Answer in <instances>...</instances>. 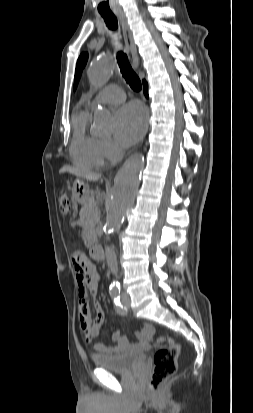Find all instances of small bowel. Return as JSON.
Returning a JSON list of instances; mask_svg holds the SVG:
<instances>
[{
	"label": "small bowel",
	"mask_w": 253,
	"mask_h": 413,
	"mask_svg": "<svg viewBox=\"0 0 253 413\" xmlns=\"http://www.w3.org/2000/svg\"><path fill=\"white\" fill-rule=\"evenodd\" d=\"M72 263L75 268V275L78 285V318L80 321V329L86 340L91 341L100 335L104 322L105 313L98 302H94L95 317L92 318L89 310L87 296L89 293L95 295L100 284V275L95 265L87 260L82 252H75L72 255ZM154 335V328L150 324H143L139 332L135 334L137 342L135 346L146 347L150 343ZM111 338L116 342V345L109 347L102 343L96 342L93 349L101 354H113L123 351L130 346V342L126 337L120 336L116 329L111 333Z\"/></svg>",
	"instance_id": "obj_1"
}]
</instances>
